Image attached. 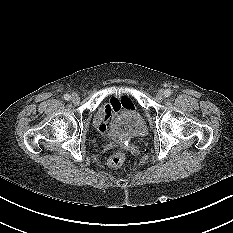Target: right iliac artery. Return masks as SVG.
<instances>
[{
    "label": "right iliac artery",
    "instance_id": "82829eb1",
    "mask_svg": "<svg viewBox=\"0 0 233 233\" xmlns=\"http://www.w3.org/2000/svg\"><path fill=\"white\" fill-rule=\"evenodd\" d=\"M64 99H65V100H69V99H70V95H69V94H65V95H64Z\"/></svg>",
    "mask_w": 233,
    "mask_h": 233
}]
</instances>
